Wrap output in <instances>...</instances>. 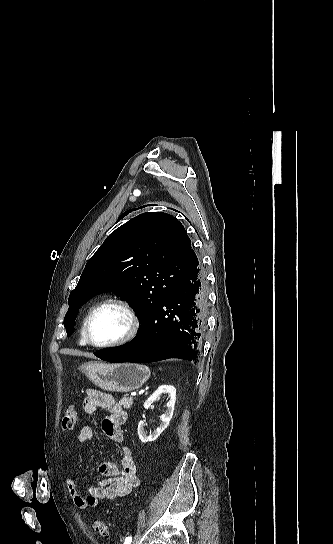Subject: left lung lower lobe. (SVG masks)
I'll list each match as a JSON object with an SVG mask.
<instances>
[{"label": "left lung lower lobe", "mask_w": 333, "mask_h": 544, "mask_svg": "<svg viewBox=\"0 0 333 544\" xmlns=\"http://www.w3.org/2000/svg\"><path fill=\"white\" fill-rule=\"evenodd\" d=\"M206 280L201 264L192 267L166 300L142 323L136 337L113 350L94 353L102 360L155 362L198 358L207 310Z\"/></svg>", "instance_id": "1"}]
</instances>
